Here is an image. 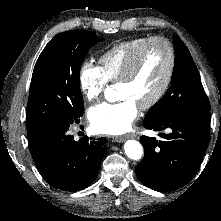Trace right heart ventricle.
I'll return each instance as SVG.
<instances>
[{"instance_id":"e07e8e85","label":"right heart ventricle","mask_w":221,"mask_h":221,"mask_svg":"<svg viewBox=\"0 0 221 221\" xmlns=\"http://www.w3.org/2000/svg\"><path fill=\"white\" fill-rule=\"evenodd\" d=\"M148 38H135L119 42L99 57L100 67L108 81H118L122 76L129 59Z\"/></svg>"}]
</instances>
